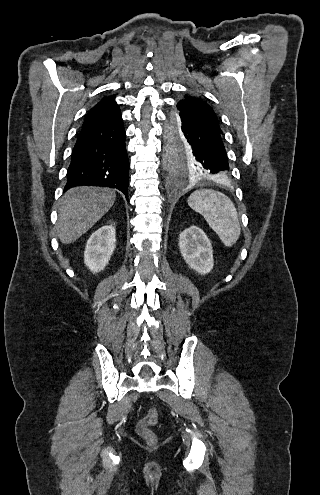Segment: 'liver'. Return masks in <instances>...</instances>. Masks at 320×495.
Here are the masks:
<instances>
[{
    "instance_id": "1",
    "label": "liver",
    "mask_w": 320,
    "mask_h": 495,
    "mask_svg": "<svg viewBox=\"0 0 320 495\" xmlns=\"http://www.w3.org/2000/svg\"><path fill=\"white\" fill-rule=\"evenodd\" d=\"M116 193L112 189L81 186L71 188L62 197L56 225L63 244L76 241L112 207Z\"/></svg>"
}]
</instances>
